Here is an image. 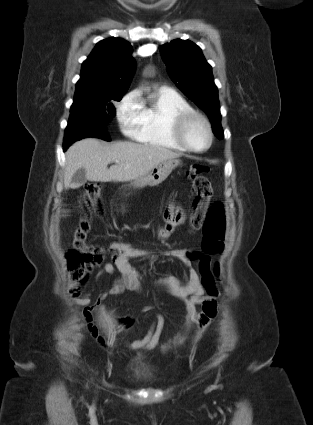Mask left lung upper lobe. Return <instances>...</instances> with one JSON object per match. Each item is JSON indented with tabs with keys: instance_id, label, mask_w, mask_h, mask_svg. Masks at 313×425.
Returning a JSON list of instances; mask_svg holds the SVG:
<instances>
[{
	"instance_id": "5c2ea615",
	"label": "left lung upper lobe",
	"mask_w": 313,
	"mask_h": 425,
	"mask_svg": "<svg viewBox=\"0 0 313 425\" xmlns=\"http://www.w3.org/2000/svg\"><path fill=\"white\" fill-rule=\"evenodd\" d=\"M160 51L172 81L208 115L215 136L222 139L218 89L200 47L189 40L175 39L162 45Z\"/></svg>"
}]
</instances>
